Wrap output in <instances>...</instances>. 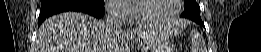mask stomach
<instances>
[{
	"instance_id": "1",
	"label": "stomach",
	"mask_w": 261,
	"mask_h": 52,
	"mask_svg": "<svg viewBox=\"0 0 261 52\" xmlns=\"http://www.w3.org/2000/svg\"><path fill=\"white\" fill-rule=\"evenodd\" d=\"M148 34L138 38L141 52H170L161 34L154 27H146Z\"/></svg>"
}]
</instances>
